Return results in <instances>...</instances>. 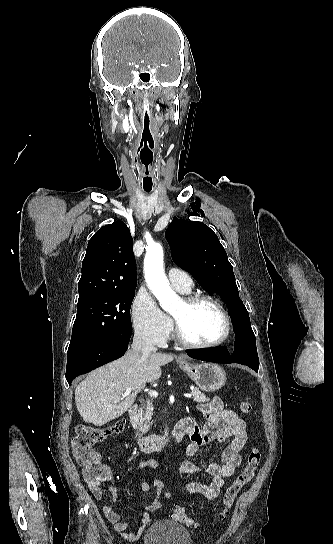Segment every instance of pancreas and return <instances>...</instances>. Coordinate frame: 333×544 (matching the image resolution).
<instances>
[{
	"mask_svg": "<svg viewBox=\"0 0 333 544\" xmlns=\"http://www.w3.org/2000/svg\"><path fill=\"white\" fill-rule=\"evenodd\" d=\"M191 394L193 395V400L197 403H204L210 401L209 398L205 396L198 388L192 389ZM153 414V406L150 400H147L146 403H143L138 410V426L139 429L145 433L148 430L150 420Z\"/></svg>",
	"mask_w": 333,
	"mask_h": 544,
	"instance_id": "1",
	"label": "pancreas"
}]
</instances>
